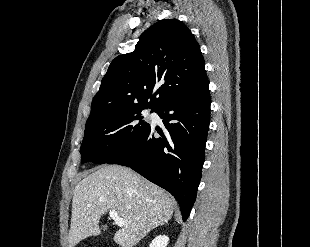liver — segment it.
Returning <instances> with one entry per match:
<instances>
[{"mask_svg":"<svg viewBox=\"0 0 310 247\" xmlns=\"http://www.w3.org/2000/svg\"><path fill=\"white\" fill-rule=\"evenodd\" d=\"M173 206L174 201L164 190L131 169L100 167L75 187L68 247L98 234L101 216L112 209L125 222L114 241L122 247H133L151 230L168 223Z\"/></svg>","mask_w":310,"mask_h":247,"instance_id":"1","label":"liver"}]
</instances>
